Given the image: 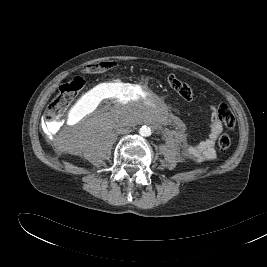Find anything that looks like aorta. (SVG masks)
Instances as JSON below:
<instances>
[{"mask_svg":"<svg viewBox=\"0 0 267 267\" xmlns=\"http://www.w3.org/2000/svg\"><path fill=\"white\" fill-rule=\"evenodd\" d=\"M139 133L141 136L148 137L151 135V129L148 126H143L140 128Z\"/></svg>","mask_w":267,"mask_h":267,"instance_id":"1","label":"aorta"}]
</instances>
